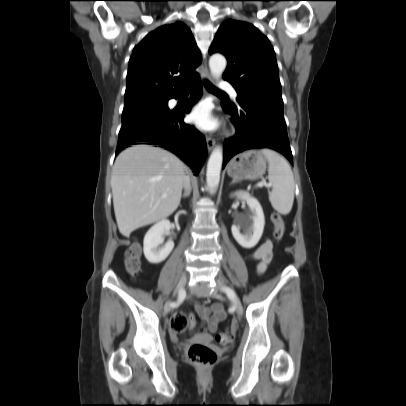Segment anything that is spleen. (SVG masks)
<instances>
[{
  "label": "spleen",
  "mask_w": 406,
  "mask_h": 406,
  "mask_svg": "<svg viewBox=\"0 0 406 406\" xmlns=\"http://www.w3.org/2000/svg\"><path fill=\"white\" fill-rule=\"evenodd\" d=\"M261 153L269 163L268 179L272 185L269 200L280 214L287 215L293 206L295 183L288 162L271 149H262Z\"/></svg>",
  "instance_id": "1"
}]
</instances>
